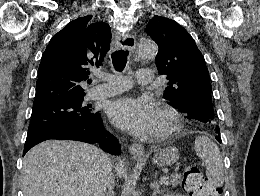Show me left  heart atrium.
Masks as SVG:
<instances>
[{
    "mask_svg": "<svg viewBox=\"0 0 260 196\" xmlns=\"http://www.w3.org/2000/svg\"><path fill=\"white\" fill-rule=\"evenodd\" d=\"M156 108L146 97L123 96L110 108L113 123L134 135H144L154 126Z\"/></svg>",
    "mask_w": 260,
    "mask_h": 196,
    "instance_id": "1",
    "label": "left heart atrium"
}]
</instances>
